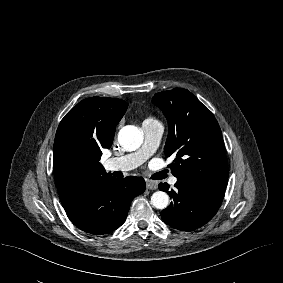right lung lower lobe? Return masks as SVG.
<instances>
[{"mask_svg":"<svg viewBox=\"0 0 283 283\" xmlns=\"http://www.w3.org/2000/svg\"><path fill=\"white\" fill-rule=\"evenodd\" d=\"M144 190L145 181L140 177L119 180L110 175L94 181L65 211L79 229L95 235L106 234L124 223L131 201Z\"/></svg>","mask_w":283,"mask_h":283,"instance_id":"right-lung-lower-lobe-1","label":"right lung lower lobe"}]
</instances>
